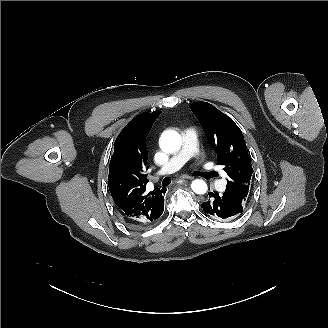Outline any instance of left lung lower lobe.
<instances>
[{"instance_id":"1","label":"left lung lower lobe","mask_w":328,"mask_h":328,"mask_svg":"<svg viewBox=\"0 0 328 328\" xmlns=\"http://www.w3.org/2000/svg\"><path fill=\"white\" fill-rule=\"evenodd\" d=\"M210 199L201 205L203 212L217 220H230L243 211L242 204L227 198L224 194L209 192Z\"/></svg>"}]
</instances>
